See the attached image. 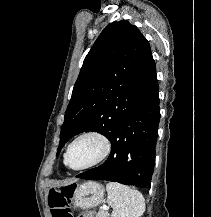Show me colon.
Here are the masks:
<instances>
[{"label":"colon","mask_w":211,"mask_h":217,"mask_svg":"<svg viewBox=\"0 0 211 217\" xmlns=\"http://www.w3.org/2000/svg\"><path fill=\"white\" fill-rule=\"evenodd\" d=\"M75 186L70 185L49 192L48 204L52 217H73L70 200L74 194ZM79 217H94L90 211L82 213Z\"/></svg>","instance_id":"5ec220e1"}]
</instances>
